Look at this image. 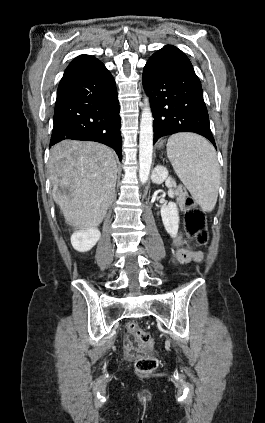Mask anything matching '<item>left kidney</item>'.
Instances as JSON below:
<instances>
[{
    "instance_id": "5707ae66",
    "label": "left kidney",
    "mask_w": 265,
    "mask_h": 423,
    "mask_svg": "<svg viewBox=\"0 0 265 423\" xmlns=\"http://www.w3.org/2000/svg\"><path fill=\"white\" fill-rule=\"evenodd\" d=\"M152 181L155 184H162L165 182L166 187L169 189L168 196L174 198L175 192L172 189L174 182L169 176L166 167L161 165L156 166L152 173ZM160 212L166 231L171 237H176L180 221L177 205L174 202H169L168 205L161 208Z\"/></svg>"
}]
</instances>
